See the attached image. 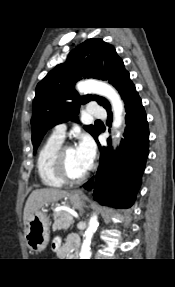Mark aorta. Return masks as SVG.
Segmentation results:
<instances>
[{"label":"aorta","instance_id":"762f6f07","mask_svg":"<svg viewBox=\"0 0 175 287\" xmlns=\"http://www.w3.org/2000/svg\"><path fill=\"white\" fill-rule=\"evenodd\" d=\"M77 89L81 93H95L106 97L112 105L114 114L113 128L118 129L123 121L122 113L124 106L117 91L110 85L98 81H83L78 83ZM117 132L116 136L119 137ZM98 227L97 215L93 214L89 220L88 227L84 234V239L80 251V259H90L91 257V240L95 230Z\"/></svg>","mask_w":175,"mask_h":287}]
</instances>
